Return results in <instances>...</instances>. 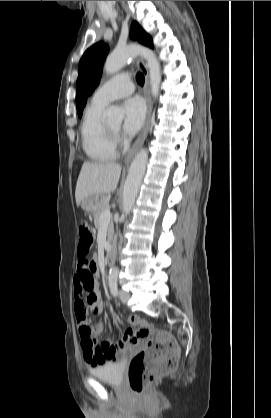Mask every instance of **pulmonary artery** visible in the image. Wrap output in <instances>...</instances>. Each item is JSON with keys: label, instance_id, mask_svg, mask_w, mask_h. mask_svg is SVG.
<instances>
[{"label": "pulmonary artery", "instance_id": "obj_1", "mask_svg": "<svg viewBox=\"0 0 271 418\" xmlns=\"http://www.w3.org/2000/svg\"><path fill=\"white\" fill-rule=\"evenodd\" d=\"M134 91V84L127 72L119 73L104 84L94 93L92 101L98 104L107 105L110 102L129 96Z\"/></svg>", "mask_w": 271, "mask_h": 418}]
</instances>
